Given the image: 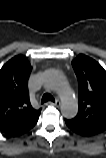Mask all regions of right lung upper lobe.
<instances>
[{
  "label": "right lung upper lobe",
  "mask_w": 106,
  "mask_h": 158,
  "mask_svg": "<svg viewBox=\"0 0 106 158\" xmlns=\"http://www.w3.org/2000/svg\"><path fill=\"white\" fill-rule=\"evenodd\" d=\"M32 67L24 55L9 60L0 70V132L17 137L38 121L41 109L32 107L27 82Z\"/></svg>",
  "instance_id": "obj_1"
}]
</instances>
